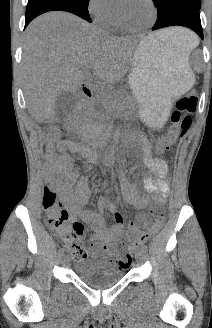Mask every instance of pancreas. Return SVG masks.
Returning a JSON list of instances; mask_svg holds the SVG:
<instances>
[{
    "mask_svg": "<svg viewBox=\"0 0 212 328\" xmlns=\"http://www.w3.org/2000/svg\"><path fill=\"white\" fill-rule=\"evenodd\" d=\"M96 101L102 102L105 113L95 111L93 107L95 101H92L82 106L75 122L76 129L88 140L101 137L103 123L110 115H115L122 109L134 107L132 99L121 100L115 91L100 95Z\"/></svg>",
    "mask_w": 212,
    "mask_h": 328,
    "instance_id": "cf45deb5",
    "label": "pancreas"
}]
</instances>
